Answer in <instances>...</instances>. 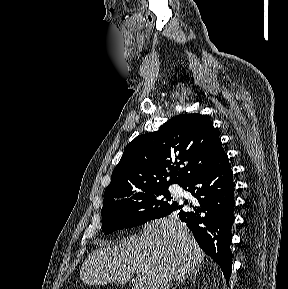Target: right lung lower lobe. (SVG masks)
<instances>
[{
	"instance_id": "1",
	"label": "right lung lower lobe",
	"mask_w": 288,
	"mask_h": 289,
	"mask_svg": "<svg viewBox=\"0 0 288 289\" xmlns=\"http://www.w3.org/2000/svg\"><path fill=\"white\" fill-rule=\"evenodd\" d=\"M234 186L228 156L222 152L214 162L181 185L197 199L196 204H190L192 210L183 211V205L177 203L166 214L179 215L202 250L219 264L227 282L232 268L230 244L234 222Z\"/></svg>"
}]
</instances>
